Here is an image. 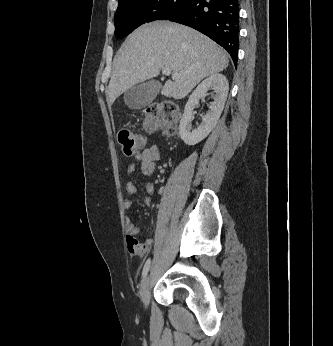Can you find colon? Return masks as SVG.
<instances>
[{"label":"colon","mask_w":333,"mask_h":346,"mask_svg":"<svg viewBox=\"0 0 333 346\" xmlns=\"http://www.w3.org/2000/svg\"><path fill=\"white\" fill-rule=\"evenodd\" d=\"M180 109L171 101H161L148 105L142 114L144 128L147 132L162 131L167 135L175 133ZM118 141L127 156L139 152L145 145L144 136L130 129H121Z\"/></svg>","instance_id":"1"}]
</instances>
